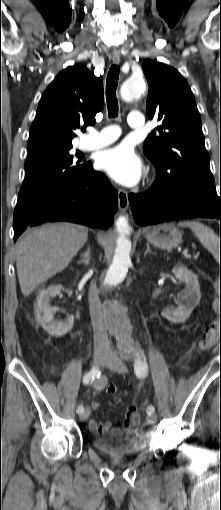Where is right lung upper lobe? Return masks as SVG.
Returning a JSON list of instances; mask_svg holds the SVG:
<instances>
[{"mask_svg":"<svg viewBox=\"0 0 221 510\" xmlns=\"http://www.w3.org/2000/svg\"><path fill=\"white\" fill-rule=\"evenodd\" d=\"M102 105L101 77L80 64L61 71L41 98L30 129L28 153L45 147H72L74 130L95 124Z\"/></svg>","mask_w":221,"mask_h":510,"instance_id":"1","label":"right lung upper lobe"}]
</instances>
